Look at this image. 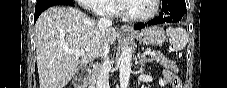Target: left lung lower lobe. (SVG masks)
Here are the masks:
<instances>
[{"label":"left lung lower lobe","mask_w":227,"mask_h":88,"mask_svg":"<svg viewBox=\"0 0 227 88\" xmlns=\"http://www.w3.org/2000/svg\"><path fill=\"white\" fill-rule=\"evenodd\" d=\"M185 0H162V11L160 15L148 23H138L134 25V29H141L147 25H155L161 23H177L186 14Z\"/></svg>","instance_id":"1"}]
</instances>
